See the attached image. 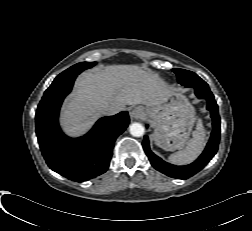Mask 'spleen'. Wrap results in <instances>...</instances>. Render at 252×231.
<instances>
[{"label": "spleen", "mask_w": 252, "mask_h": 231, "mask_svg": "<svg viewBox=\"0 0 252 231\" xmlns=\"http://www.w3.org/2000/svg\"><path fill=\"white\" fill-rule=\"evenodd\" d=\"M206 132L202 121L199 120L196 129L192 133V138L188 141L186 147L169 156L170 162L177 165H185L194 161L202 152L205 146Z\"/></svg>", "instance_id": "1"}]
</instances>
